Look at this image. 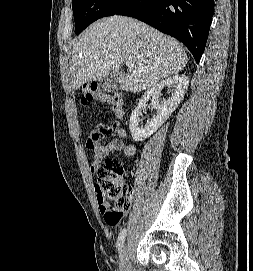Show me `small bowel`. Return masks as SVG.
Listing matches in <instances>:
<instances>
[{
  "label": "small bowel",
  "instance_id": "obj_1",
  "mask_svg": "<svg viewBox=\"0 0 253 271\" xmlns=\"http://www.w3.org/2000/svg\"><path fill=\"white\" fill-rule=\"evenodd\" d=\"M111 134H115L116 137L105 143L104 138ZM128 139L127 130L119 122L97 124L86 139V147L93 152L90 164L91 173L98 171L102 159L109 154L123 152L127 157L133 156L136 152V146L134 143L125 144Z\"/></svg>",
  "mask_w": 253,
  "mask_h": 271
}]
</instances>
